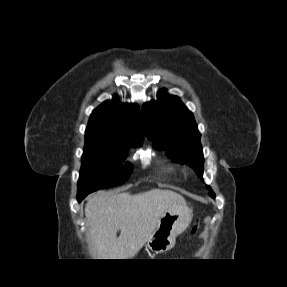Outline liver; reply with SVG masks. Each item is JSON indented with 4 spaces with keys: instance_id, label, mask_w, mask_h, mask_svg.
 <instances>
[{
    "instance_id": "1",
    "label": "liver",
    "mask_w": 287,
    "mask_h": 287,
    "mask_svg": "<svg viewBox=\"0 0 287 287\" xmlns=\"http://www.w3.org/2000/svg\"><path fill=\"white\" fill-rule=\"evenodd\" d=\"M184 203L183 196L171 190L152 189L139 194L98 192L85 206L93 254L98 259L136 256L163 213Z\"/></svg>"
}]
</instances>
